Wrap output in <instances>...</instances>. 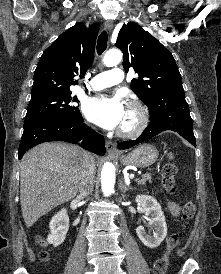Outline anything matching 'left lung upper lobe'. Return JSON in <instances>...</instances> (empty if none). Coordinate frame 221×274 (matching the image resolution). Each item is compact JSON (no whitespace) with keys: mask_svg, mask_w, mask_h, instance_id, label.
Instances as JSON below:
<instances>
[{"mask_svg":"<svg viewBox=\"0 0 221 274\" xmlns=\"http://www.w3.org/2000/svg\"><path fill=\"white\" fill-rule=\"evenodd\" d=\"M116 47L123 52L126 72L134 69L131 88L150 115L185 100L182 78L172 54L140 25L129 22L119 31Z\"/></svg>","mask_w":221,"mask_h":274,"instance_id":"5c2ea615","label":"left lung upper lobe"}]
</instances>
